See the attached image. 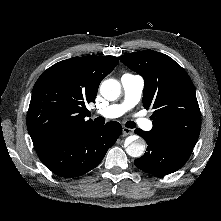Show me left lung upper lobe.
Instances as JSON below:
<instances>
[{"instance_id": "obj_1", "label": "left lung upper lobe", "mask_w": 221, "mask_h": 221, "mask_svg": "<svg viewBox=\"0 0 221 221\" xmlns=\"http://www.w3.org/2000/svg\"><path fill=\"white\" fill-rule=\"evenodd\" d=\"M120 61L144 78L143 105L153 109L149 134L193 149L201 114L186 71L169 56L151 50L125 54Z\"/></svg>"}]
</instances>
